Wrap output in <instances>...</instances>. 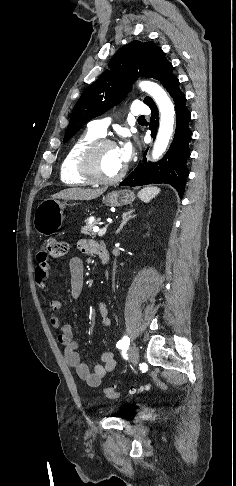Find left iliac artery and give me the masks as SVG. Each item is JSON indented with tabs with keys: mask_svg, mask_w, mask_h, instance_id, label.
Instances as JSON below:
<instances>
[{
	"mask_svg": "<svg viewBox=\"0 0 236 486\" xmlns=\"http://www.w3.org/2000/svg\"><path fill=\"white\" fill-rule=\"evenodd\" d=\"M130 344V338L128 336H124L120 341L117 342V348H125L128 347Z\"/></svg>",
	"mask_w": 236,
	"mask_h": 486,
	"instance_id": "44dca946",
	"label": "left iliac artery"
}]
</instances>
